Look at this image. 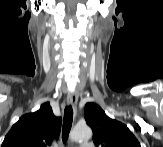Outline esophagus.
Segmentation results:
<instances>
[{
	"mask_svg": "<svg viewBox=\"0 0 163 147\" xmlns=\"http://www.w3.org/2000/svg\"><path fill=\"white\" fill-rule=\"evenodd\" d=\"M77 101H78V95H77L76 92L68 93L67 102H68L69 105L72 106L74 112H76Z\"/></svg>",
	"mask_w": 163,
	"mask_h": 147,
	"instance_id": "esophagus-1",
	"label": "esophagus"
}]
</instances>
